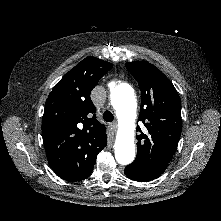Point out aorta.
<instances>
[{
  "label": "aorta",
  "mask_w": 221,
  "mask_h": 221,
  "mask_svg": "<svg viewBox=\"0 0 221 221\" xmlns=\"http://www.w3.org/2000/svg\"><path fill=\"white\" fill-rule=\"evenodd\" d=\"M111 104L117 112L120 127L114 145L116 161L130 164L135 157L134 117L137 107L134 89L127 83L117 84L111 92Z\"/></svg>",
  "instance_id": "aorta-1"
}]
</instances>
